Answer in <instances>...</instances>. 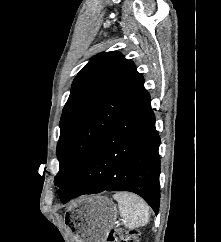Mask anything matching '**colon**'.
I'll list each match as a JSON object with an SVG mask.
<instances>
[{"label": "colon", "mask_w": 221, "mask_h": 242, "mask_svg": "<svg viewBox=\"0 0 221 242\" xmlns=\"http://www.w3.org/2000/svg\"><path fill=\"white\" fill-rule=\"evenodd\" d=\"M139 240L140 235L137 230L114 228L109 231L106 242H139Z\"/></svg>", "instance_id": "5ec220e1"}]
</instances>
